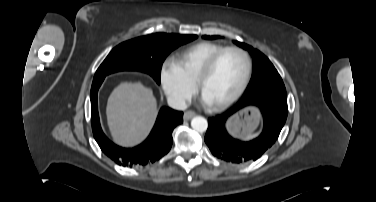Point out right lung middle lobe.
Masks as SVG:
<instances>
[{
	"instance_id": "dd1d6c3e",
	"label": "right lung middle lobe",
	"mask_w": 376,
	"mask_h": 202,
	"mask_svg": "<svg viewBox=\"0 0 376 202\" xmlns=\"http://www.w3.org/2000/svg\"><path fill=\"white\" fill-rule=\"evenodd\" d=\"M197 35L155 33L119 44L100 65L93 83L106 75L122 70H138L150 74L160 83L162 63L168 54Z\"/></svg>"
}]
</instances>
